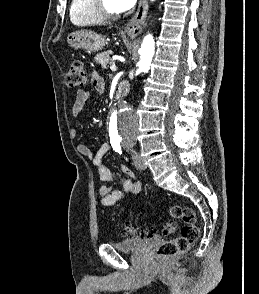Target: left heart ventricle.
<instances>
[{
    "label": "left heart ventricle",
    "mask_w": 259,
    "mask_h": 294,
    "mask_svg": "<svg viewBox=\"0 0 259 294\" xmlns=\"http://www.w3.org/2000/svg\"><path fill=\"white\" fill-rule=\"evenodd\" d=\"M104 6L111 12H120L116 7L114 0H103Z\"/></svg>",
    "instance_id": "obj_1"
}]
</instances>
